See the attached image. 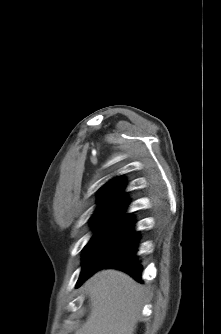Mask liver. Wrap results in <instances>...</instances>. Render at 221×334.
<instances>
[{
	"label": "liver",
	"mask_w": 221,
	"mask_h": 334,
	"mask_svg": "<svg viewBox=\"0 0 221 334\" xmlns=\"http://www.w3.org/2000/svg\"><path fill=\"white\" fill-rule=\"evenodd\" d=\"M91 312L75 334H134L144 288L124 272L104 269L85 284Z\"/></svg>",
	"instance_id": "obj_1"
}]
</instances>
